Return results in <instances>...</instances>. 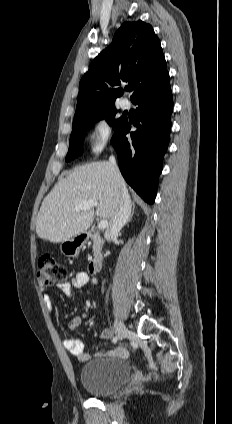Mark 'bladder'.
<instances>
[{"mask_svg":"<svg viewBox=\"0 0 232 424\" xmlns=\"http://www.w3.org/2000/svg\"><path fill=\"white\" fill-rule=\"evenodd\" d=\"M131 373L129 364L118 358L102 357L81 367L80 383L94 396L105 397L117 392Z\"/></svg>","mask_w":232,"mask_h":424,"instance_id":"bladder-1","label":"bladder"}]
</instances>
